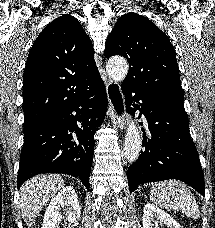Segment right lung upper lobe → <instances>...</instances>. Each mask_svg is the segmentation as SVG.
Wrapping results in <instances>:
<instances>
[{"mask_svg":"<svg viewBox=\"0 0 215 228\" xmlns=\"http://www.w3.org/2000/svg\"><path fill=\"white\" fill-rule=\"evenodd\" d=\"M91 40L68 14L49 23L29 52L23 75L24 125L65 105L98 75Z\"/></svg>","mask_w":215,"mask_h":228,"instance_id":"cb5924a9","label":"right lung upper lobe"}]
</instances>
